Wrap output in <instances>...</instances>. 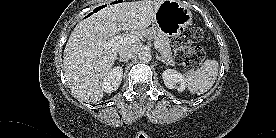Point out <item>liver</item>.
Wrapping results in <instances>:
<instances>
[{
  "label": "liver",
  "instance_id": "1",
  "mask_svg": "<svg viewBox=\"0 0 276 138\" xmlns=\"http://www.w3.org/2000/svg\"><path fill=\"white\" fill-rule=\"evenodd\" d=\"M162 2L143 0L108 5L76 25L64 49L63 68L67 84L77 98L88 102L103 98V80L118 51L133 46L123 43L108 47L105 43L120 30L138 33L148 28Z\"/></svg>",
  "mask_w": 276,
  "mask_h": 138
}]
</instances>
